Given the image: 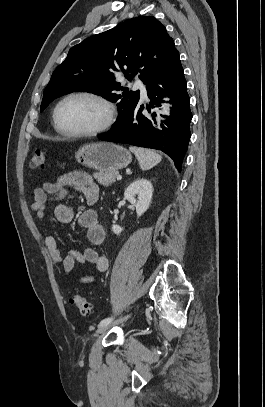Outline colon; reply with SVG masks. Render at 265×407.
<instances>
[{
  "mask_svg": "<svg viewBox=\"0 0 265 407\" xmlns=\"http://www.w3.org/2000/svg\"><path fill=\"white\" fill-rule=\"evenodd\" d=\"M46 162V153L42 149H36L32 153L30 166L34 169L43 168ZM72 303L78 308L80 314L84 317L91 315L93 305L90 301L80 295H75L72 298Z\"/></svg>",
  "mask_w": 265,
  "mask_h": 407,
  "instance_id": "colon-1",
  "label": "colon"
}]
</instances>
